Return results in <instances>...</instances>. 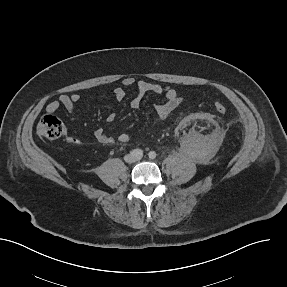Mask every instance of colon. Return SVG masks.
I'll list each match as a JSON object with an SVG mask.
<instances>
[{
	"instance_id": "5ec220e1",
	"label": "colon",
	"mask_w": 287,
	"mask_h": 287,
	"mask_svg": "<svg viewBox=\"0 0 287 287\" xmlns=\"http://www.w3.org/2000/svg\"><path fill=\"white\" fill-rule=\"evenodd\" d=\"M214 110L218 114H224L227 107L221 102L214 103ZM37 134L46 140H54L61 137L65 131L63 122L55 115L48 114L40 119L36 127Z\"/></svg>"
}]
</instances>
